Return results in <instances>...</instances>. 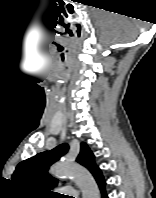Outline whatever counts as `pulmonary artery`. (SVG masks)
<instances>
[{
	"instance_id": "1",
	"label": "pulmonary artery",
	"mask_w": 156,
	"mask_h": 198,
	"mask_svg": "<svg viewBox=\"0 0 156 198\" xmlns=\"http://www.w3.org/2000/svg\"><path fill=\"white\" fill-rule=\"evenodd\" d=\"M61 189L64 190V191H72L73 190V188L69 187V186H64Z\"/></svg>"
}]
</instances>
